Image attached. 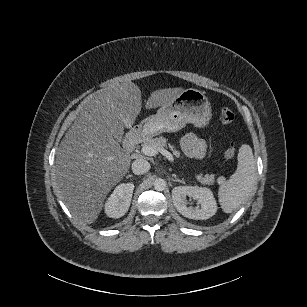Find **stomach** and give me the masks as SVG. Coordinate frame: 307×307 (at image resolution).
<instances>
[{
  "label": "stomach",
  "instance_id": "stomach-1",
  "mask_svg": "<svg viewBox=\"0 0 307 307\" xmlns=\"http://www.w3.org/2000/svg\"><path fill=\"white\" fill-rule=\"evenodd\" d=\"M211 105L203 92L189 88L183 90L168 105L161 106L156 114L140 123L141 130L150 136L163 132H177L186 124L204 128L211 119Z\"/></svg>",
  "mask_w": 307,
  "mask_h": 307
}]
</instances>
